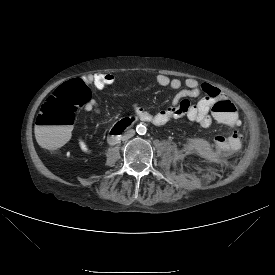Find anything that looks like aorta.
Here are the masks:
<instances>
[{"label": "aorta", "instance_id": "1", "mask_svg": "<svg viewBox=\"0 0 275 275\" xmlns=\"http://www.w3.org/2000/svg\"><path fill=\"white\" fill-rule=\"evenodd\" d=\"M136 131H137V133H138L139 135H144V134L146 133V131H147V128H146L145 125L139 124V125H137V127H136Z\"/></svg>", "mask_w": 275, "mask_h": 275}]
</instances>
